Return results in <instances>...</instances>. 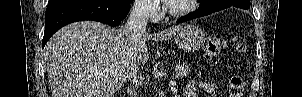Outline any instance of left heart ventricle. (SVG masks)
Returning <instances> with one entry per match:
<instances>
[{
  "label": "left heart ventricle",
  "mask_w": 302,
  "mask_h": 97,
  "mask_svg": "<svg viewBox=\"0 0 302 97\" xmlns=\"http://www.w3.org/2000/svg\"><path fill=\"white\" fill-rule=\"evenodd\" d=\"M170 4L173 8H182L188 4V0H173Z\"/></svg>",
  "instance_id": "obj_1"
}]
</instances>
